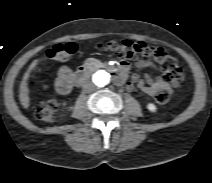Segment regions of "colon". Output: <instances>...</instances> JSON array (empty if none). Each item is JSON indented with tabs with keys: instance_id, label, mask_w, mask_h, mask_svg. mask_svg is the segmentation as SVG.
Segmentation results:
<instances>
[{
	"instance_id": "1",
	"label": "colon",
	"mask_w": 212,
	"mask_h": 183,
	"mask_svg": "<svg viewBox=\"0 0 212 183\" xmlns=\"http://www.w3.org/2000/svg\"><path fill=\"white\" fill-rule=\"evenodd\" d=\"M99 49L109 50L124 59L147 57L154 60L162 70L166 81L176 82L183 76L177 59L169 54L165 49L152 47L143 42H133L124 40L122 42L110 41L106 44H99ZM77 50L74 43L56 44L51 47L47 54L55 60H64L73 55ZM170 98L169 92L162 90L154 95V99L159 104H165ZM58 110V102L55 98H49L34 106V113L42 121L50 122L55 118Z\"/></svg>"
}]
</instances>
